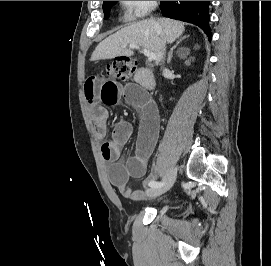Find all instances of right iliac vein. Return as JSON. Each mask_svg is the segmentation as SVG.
<instances>
[{"label": "right iliac vein", "mask_w": 271, "mask_h": 266, "mask_svg": "<svg viewBox=\"0 0 271 266\" xmlns=\"http://www.w3.org/2000/svg\"><path fill=\"white\" fill-rule=\"evenodd\" d=\"M177 176V169L172 168L168 175L166 180L164 181L163 185L155 188H150L147 190V194L152 197H157L165 192H167L174 184L175 179Z\"/></svg>", "instance_id": "63e3f726"}]
</instances>
